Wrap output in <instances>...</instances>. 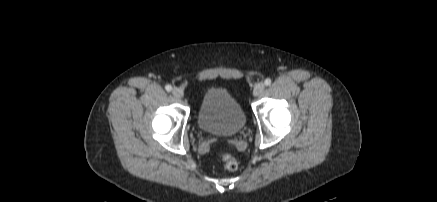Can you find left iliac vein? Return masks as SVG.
<instances>
[{
    "mask_svg": "<svg viewBox=\"0 0 437 202\" xmlns=\"http://www.w3.org/2000/svg\"><path fill=\"white\" fill-rule=\"evenodd\" d=\"M265 89V85L264 83L260 82L257 83L253 89V95L254 96H259Z\"/></svg>",
    "mask_w": 437,
    "mask_h": 202,
    "instance_id": "left-iliac-vein-1",
    "label": "left iliac vein"
}]
</instances>
